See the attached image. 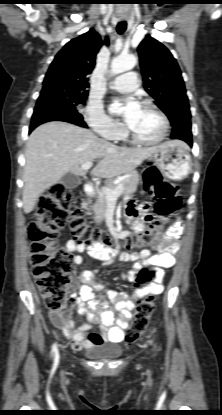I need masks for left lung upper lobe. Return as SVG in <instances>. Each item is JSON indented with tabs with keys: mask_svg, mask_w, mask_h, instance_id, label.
Listing matches in <instances>:
<instances>
[{
	"mask_svg": "<svg viewBox=\"0 0 222 415\" xmlns=\"http://www.w3.org/2000/svg\"><path fill=\"white\" fill-rule=\"evenodd\" d=\"M144 89L169 118L173 129L191 124L188 97L181 71L171 52L147 35L138 46Z\"/></svg>",
	"mask_w": 222,
	"mask_h": 415,
	"instance_id": "left-lung-upper-lobe-1",
	"label": "left lung upper lobe"
}]
</instances>
